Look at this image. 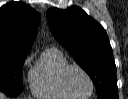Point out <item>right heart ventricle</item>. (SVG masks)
Instances as JSON below:
<instances>
[{
    "label": "right heart ventricle",
    "mask_w": 128,
    "mask_h": 99,
    "mask_svg": "<svg viewBox=\"0 0 128 99\" xmlns=\"http://www.w3.org/2000/svg\"><path fill=\"white\" fill-rule=\"evenodd\" d=\"M69 64L57 48L46 50L30 74L32 94L39 99H69L60 85V73Z\"/></svg>",
    "instance_id": "obj_1"
}]
</instances>
